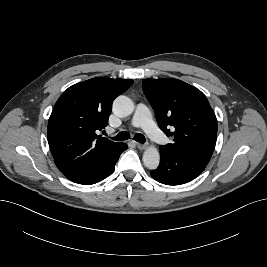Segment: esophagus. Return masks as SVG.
Wrapping results in <instances>:
<instances>
[{"instance_id": "34e87169", "label": "esophagus", "mask_w": 267, "mask_h": 267, "mask_svg": "<svg viewBox=\"0 0 267 267\" xmlns=\"http://www.w3.org/2000/svg\"><path fill=\"white\" fill-rule=\"evenodd\" d=\"M136 146L140 150H144V149L147 148V145L146 144H141V143H136Z\"/></svg>"}]
</instances>
